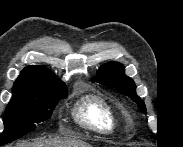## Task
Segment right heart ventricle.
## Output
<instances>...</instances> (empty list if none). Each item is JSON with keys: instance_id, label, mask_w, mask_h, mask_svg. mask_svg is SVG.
Here are the masks:
<instances>
[{"instance_id": "obj_1", "label": "right heart ventricle", "mask_w": 183, "mask_h": 147, "mask_svg": "<svg viewBox=\"0 0 183 147\" xmlns=\"http://www.w3.org/2000/svg\"><path fill=\"white\" fill-rule=\"evenodd\" d=\"M74 115L82 126L98 133H111L118 127L113 107L99 96L83 98L77 104Z\"/></svg>"}]
</instances>
